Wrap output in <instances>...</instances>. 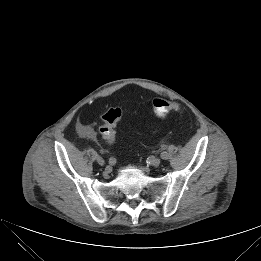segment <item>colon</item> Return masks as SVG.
<instances>
[{
  "instance_id": "obj_1",
  "label": "colon",
  "mask_w": 261,
  "mask_h": 261,
  "mask_svg": "<svg viewBox=\"0 0 261 261\" xmlns=\"http://www.w3.org/2000/svg\"><path fill=\"white\" fill-rule=\"evenodd\" d=\"M152 106L155 115L159 118H164L172 111L181 110V107L178 103L159 97L153 99ZM121 117L122 111L119 108H111L103 114V123L100 127V133L107 142H114L116 136V125Z\"/></svg>"
}]
</instances>
